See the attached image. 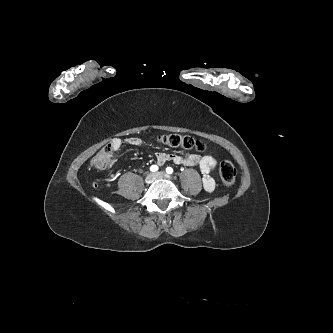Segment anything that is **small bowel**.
Returning a JSON list of instances; mask_svg holds the SVG:
<instances>
[{
	"label": "small bowel",
	"mask_w": 333,
	"mask_h": 333,
	"mask_svg": "<svg viewBox=\"0 0 333 333\" xmlns=\"http://www.w3.org/2000/svg\"><path fill=\"white\" fill-rule=\"evenodd\" d=\"M124 143L133 146L143 145V141L137 137H129L124 140H121L120 138H114L111 142V148L113 150H119ZM102 153L103 151L99 153L98 156ZM110 157L111 154L107 156L108 162L110 161ZM156 161L158 165H164L167 162H173L181 166L198 167L202 174V183L204 189L207 192H211L216 187V183L211 174L217 167V161L210 155L158 153Z\"/></svg>",
	"instance_id": "small-bowel-1"
}]
</instances>
